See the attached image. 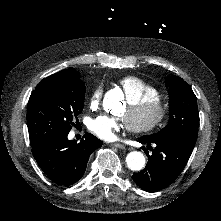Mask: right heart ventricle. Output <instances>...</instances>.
Masks as SVG:
<instances>
[{
	"mask_svg": "<svg viewBox=\"0 0 221 221\" xmlns=\"http://www.w3.org/2000/svg\"><path fill=\"white\" fill-rule=\"evenodd\" d=\"M119 85L125 89L124 96L128 104L135 108L140 102H146L156 94H163V90L155 84L142 80L138 77L123 78Z\"/></svg>",
	"mask_w": 221,
	"mask_h": 221,
	"instance_id": "1",
	"label": "right heart ventricle"
}]
</instances>
